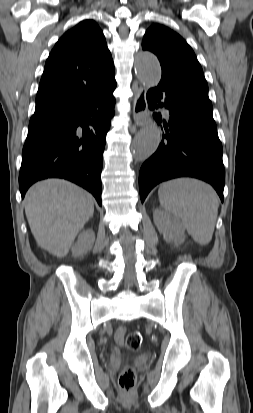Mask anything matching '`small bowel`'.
Here are the masks:
<instances>
[{
  "label": "small bowel",
  "mask_w": 253,
  "mask_h": 413,
  "mask_svg": "<svg viewBox=\"0 0 253 413\" xmlns=\"http://www.w3.org/2000/svg\"><path fill=\"white\" fill-rule=\"evenodd\" d=\"M125 335V328L120 327L115 332V340L118 344H122Z\"/></svg>",
  "instance_id": "small-bowel-1"
}]
</instances>
